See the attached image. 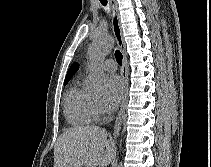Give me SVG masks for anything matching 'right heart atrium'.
<instances>
[{"instance_id": "obj_1", "label": "right heart atrium", "mask_w": 211, "mask_h": 167, "mask_svg": "<svg viewBox=\"0 0 211 167\" xmlns=\"http://www.w3.org/2000/svg\"><path fill=\"white\" fill-rule=\"evenodd\" d=\"M93 107H94L96 117L104 113V107L99 99L94 98Z\"/></svg>"}]
</instances>
